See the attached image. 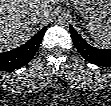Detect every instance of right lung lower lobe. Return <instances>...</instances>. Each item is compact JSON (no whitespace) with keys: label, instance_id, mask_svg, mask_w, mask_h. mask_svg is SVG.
Returning a JSON list of instances; mask_svg holds the SVG:
<instances>
[{"label":"right lung lower lobe","instance_id":"1","mask_svg":"<svg viewBox=\"0 0 111 106\" xmlns=\"http://www.w3.org/2000/svg\"><path fill=\"white\" fill-rule=\"evenodd\" d=\"M46 28V26L42 28L24 45L0 53V71L14 70L26 65L38 50Z\"/></svg>","mask_w":111,"mask_h":106}]
</instances>
